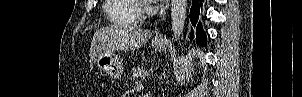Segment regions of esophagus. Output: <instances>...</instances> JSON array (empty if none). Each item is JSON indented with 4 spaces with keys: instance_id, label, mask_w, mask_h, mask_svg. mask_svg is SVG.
I'll list each match as a JSON object with an SVG mask.
<instances>
[{
    "instance_id": "obj_1",
    "label": "esophagus",
    "mask_w": 302,
    "mask_h": 97,
    "mask_svg": "<svg viewBox=\"0 0 302 97\" xmlns=\"http://www.w3.org/2000/svg\"><path fill=\"white\" fill-rule=\"evenodd\" d=\"M165 16H166V9L165 10H163L162 12H161V18H162V20L163 21H165ZM163 36H162V34H159L157 37H156V40L157 41H163Z\"/></svg>"
}]
</instances>
